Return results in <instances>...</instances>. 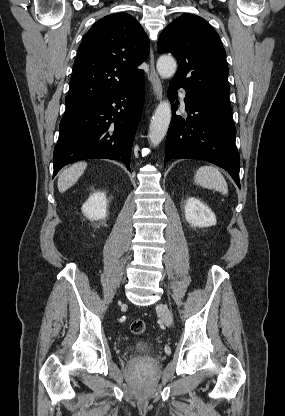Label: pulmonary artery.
Segmentation results:
<instances>
[{"instance_id": "1", "label": "pulmonary artery", "mask_w": 285, "mask_h": 416, "mask_svg": "<svg viewBox=\"0 0 285 416\" xmlns=\"http://www.w3.org/2000/svg\"><path fill=\"white\" fill-rule=\"evenodd\" d=\"M179 96H180V100H181V107L184 109L185 108L186 93L183 89L179 90Z\"/></svg>"}]
</instances>
